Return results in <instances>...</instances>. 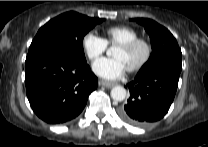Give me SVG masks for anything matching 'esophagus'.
<instances>
[{
	"instance_id": "esophagus-1",
	"label": "esophagus",
	"mask_w": 208,
	"mask_h": 147,
	"mask_svg": "<svg viewBox=\"0 0 208 147\" xmlns=\"http://www.w3.org/2000/svg\"><path fill=\"white\" fill-rule=\"evenodd\" d=\"M100 85L106 87V88H112L115 86L114 82H109V81H105V80H100Z\"/></svg>"
}]
</instances>
